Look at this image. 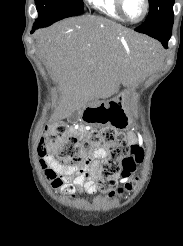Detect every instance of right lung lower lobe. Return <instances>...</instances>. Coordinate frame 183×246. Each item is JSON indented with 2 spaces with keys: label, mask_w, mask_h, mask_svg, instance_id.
Returning a JSON list of instances; mask_svg holds the SVG:
<instances>
[{
  "label": "right lung lower lobe",
  "mask_w": 183,
  "mask_h": 246,
  "mask_svg": "<svg viewBox=\"0 0 183 246\" xmlns=\"http://www.w3.org/2000/svg\"><path fill=\"white\" fill-rule=\"evenodd\" d=\"M46 26H49L45 23H35L34 26H33V30L31 31V33L34 32V30L38 29V28H42V27H46Z\"/></svg>",
  "instance_id": "1"
}]
</instances>
